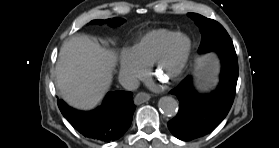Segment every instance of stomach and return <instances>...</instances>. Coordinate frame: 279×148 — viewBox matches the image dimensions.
<instances>
[{
    "mask_svg": "<svg viewBox=\"0 0 279 148\" xmlns=\"http://www.w3.org/2000/svg\"><path fill=\"white\" fill-rule=\"evenodd\" d=\"M199 79L202 81H210L211 80V66L207 60H201L199 62Z\"/></svg>",
    "mask_w": 279,
    "mask_h": 148,
    "instance_id": "stomach-1",
    "label": "stomach"
}]
</instances>
